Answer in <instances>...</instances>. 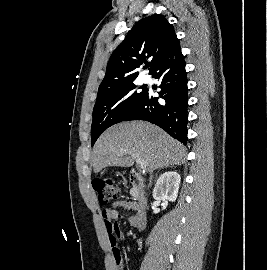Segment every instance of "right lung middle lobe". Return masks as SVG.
<instances>
[{
    "mask_svg": "<svg viewBox=\"0 0 267 270\" xmlns=\"http://www.w3.org/2000/svg\"><path fill=\"white\" fill-rule=\"evenodd\" d=\"M135 88L134 81H130L98 91L91 126L92 146L107 128L124 121L130 111L147 92V89H143L141 92L135 91L124 102L115 106L118 100Z\"/></svg>",
    "mask_w": 267,
    "mask_h": 270,
    "instance_id": "dd1d6c3e",
    "label": "right lung middle lobe"
}]
</instances>
